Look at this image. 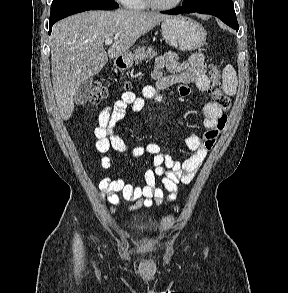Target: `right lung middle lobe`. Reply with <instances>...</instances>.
I'll list each match as a JSON object with an SVG mask.
<instances>
[{
    "label": "right lung middle lobe",
    "instance_id": "1",
    "mask_svg": "<svg viewBox=\"0 0 288 293\" xmlns=\"http://www.w3.org/2000/svg\"><path fill=\"white\" fill-rule=\"evenodd\" d=\"M118 7L114 0H53L49 20L83 8L111 10Z\"/></svg>",
    "mask_w": 288,
    "mask_h": 293
}]
</instances>
